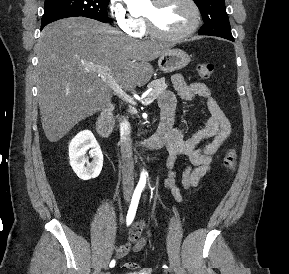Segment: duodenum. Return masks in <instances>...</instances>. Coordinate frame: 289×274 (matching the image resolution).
Instances as JSON below:
<instances>
[{
    "instance_id": "1",
    "label": "duodenum",
    "mask_w": 289,
    "mask_h": 274,
    "mask_svg": "<svg viewBox=\"0 0 289 274\" xmlns=\"http://www.w3.org/2000/svg\"><path fill=\"white\" fill-rule=\"evenodd\" d=\"M174 114L162 113L157 130L148 139L138 142L134 145L140 150H156L162 148L170 136L173 125ZM113 124V109L111 104H108L101 112L96 122V129L102 138H108L112 131Z\"/></svg>"
}]
</instances>
